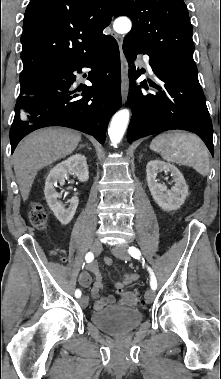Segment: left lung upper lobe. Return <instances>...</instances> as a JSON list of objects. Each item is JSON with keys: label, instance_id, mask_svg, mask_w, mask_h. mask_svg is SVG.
<instances>
[{"label": "left lung upper lobe", "instance_id": "obj_1", "mask_svg": "<svg viewBox=\"0 0 221 379\" xmlns=\"http://www.w3.org/2000/svg\"><path fill=\"white\" fill-rule=\"evenodd\" d=\"M113 14L128 16L132 29L125 38L168 64L197 71L192 26L183 0H112Z\"/></svg>", "mask_w": 221, "mask_h": 379}]
</instances>
